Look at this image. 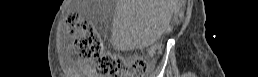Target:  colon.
<instances>
[{"label": "colon", "mask_w": 258, "mask_h": 77, "mask_svg": "<svg viewBox=\"0 0 258 77\" xmlns=\"http://www.w3.org/2000/svg\"><path fill=\"white\" fill-rule=\"evenodd\" d=\"M66 23L75 38V51L81 59L95 61L96 71L101 74H119L128 71L134 76L142 75L147 70V62L143 59H125L120 56L103 52L99 34L89 22H80L78 15H67Z\"/></svg>", "instance_id": "5ec220e1"}]
</instances>
